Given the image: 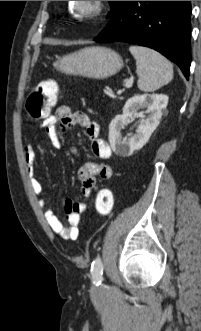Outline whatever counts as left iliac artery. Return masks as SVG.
Instances as JSON below:
<instances>
[{"label": "left iliac artery", "instance_id": "1", "mask_svg": "<svg viewBox=\"0 0 201 331\" xmlns=\"http://www.w3.org/2000/svg\"><path fill=\"white\" fill-rule=\"evenodd\" d=\"M91 275L93 284L100 285L103 280V264L99 256L92 263Z\"/></svg>", "mask_w": 201, "mask_h": 331}]
</instances>
